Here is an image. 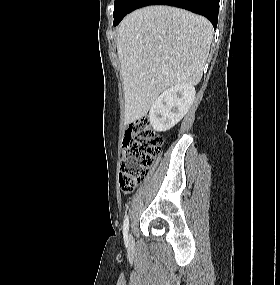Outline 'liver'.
Segmentation results:
<instances>
[{
	"mask_svg": "<svg viewBox=\"0 0 280 285\" xmlns=\"http://www.w3.org/2000/svg\"><path fill=\"white\" fill-rule=\"evenodd\" d=\"M213 39L204 17L150 6L128 14L117 29L125 124L147 114L156 98L177 84L200 82Z\"/></svg>",
	"mask_w": 280,
	"mask_h": 285,
	"instance_id": "obj_1",
	"label": "liver"
}]
</instances>
